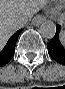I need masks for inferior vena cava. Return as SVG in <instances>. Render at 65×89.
Listing matches in <instances>:
<instances>
[{"label": "inferior vena cava", "instance_id": "obj_1", "mask_svg": "<svg viewBox=\"0 0 65 89\" xmlns=\"http://www.w3.org/2000/svg\"><path fill=\"white\" fill-rule=\"evenodd\" d=\"M31 18L29 17H24V18H20L17 21V27L18 28H22L23 26L26 25V23L30 20Z\"/></svg>", "mask_w": 65, "mask_h": 89}]
</instances>
